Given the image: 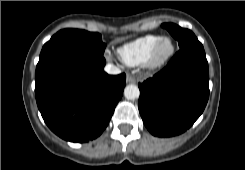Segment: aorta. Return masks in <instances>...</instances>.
Here are the masks:
<instances>
[{
  "instance_id": "1",
  "label": "aorta",
  "mask_w": 245,
  "mask_h": 170,
  "mask_svg": "<svg viewBox=\"0 0 245 170\" xmlns=\"http://www.w3.org/2000/svg\"><path fill=\"white\" fill-rule=\"evenodd\" d=\"M139 95L140 91L136 85H127L124 89V96L129 100L137 99Z\"/></svg>"
}]
</instances>
